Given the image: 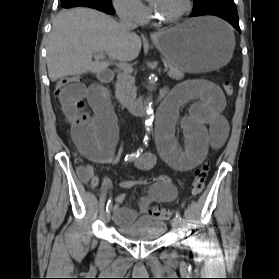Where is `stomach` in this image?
<instances>
[{
	"label": "stomach",
	"instance_id": "obj_1",
	"mask_svg": "<svg viewBox=\"0 0 279 279\" xmlns=\"http://www.w3.org/2000/svg\"><path fill=\"white\" fill-rule=\"evenodd\" d=\"M155 45L176 68L202 73L222 69L232 57L235 40L222 21L199 17L160 32Z\"/></svg>",
	"mask_w": 279,
	"mask_h": 279
}]
</instances>
